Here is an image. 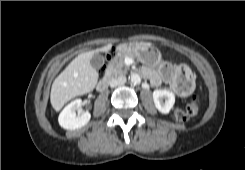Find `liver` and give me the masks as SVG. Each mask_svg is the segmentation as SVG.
Returning <instances> with one entry per match:
<instances>
[{
	"mask_svg": "<svg viewBox=\"0 0 245 170\" xmlns=\"http://www.w3.org/2000/svg\"><path fill=\"white\" fill-rule=\"evenodd\" d=\"M144 46H151V43H138ZM112 45H106L102 48L87 51L75 57L70 64L54 80L50 102L55 111L61 108L71 99L91 92L98 81V72L94 69L90 60L94 54L99 52H108Z\"/></svg>",
	"mask_w": 245,
	"mask_h": 170,
	"instance_id": "obj_1",
	"label": "liver"
}]
</instances>
